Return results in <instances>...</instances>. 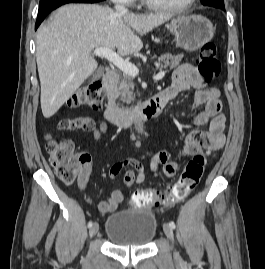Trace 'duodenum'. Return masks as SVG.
I'll use <instances>...</instances> for the list:
<instances>
[{"label":"duodenum","mask_w":265,"mask_h":269,"mask_svg":"<svg viewBox=\"0 0 265 269\" xmlns=\"http://www.w3.org/2000/svg\"><path fill=\"white\" fill-rule=\"evenodd\" d=\"M116 80L117 74L112 69L107 70L102 80L107 96L104 116L110 123L115 125H130L139 120L155 117L164 107V100L161 93L152 96L147 101L132 109L117 106L115 103Z\"/></svg>","instance_id":"duodenum-1"}]
</instances>
